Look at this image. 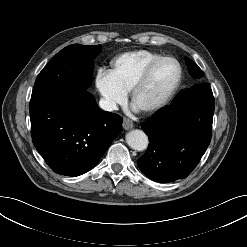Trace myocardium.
Segmentation results:
<instances>
[{"instance_id":"myocardium-1","label":"myocardium","mask_w":247,"mask_h":247,"mask_svg":"<svg viewBox=\"0 0 247 247\" xmlns=\"http://www.w3.org/2000/svg\"><path fill=\"white\" fill-rule=\"evenodd\" d=\"M163 60H171L176 64L177 70H178L176 80L173 83V85L171 86V88L167 91V93L160 100H158L157 102L153 103L152 105L142 109L144 112H154V111H157L160 108H162L172 98V96L175 94V92L177 91V89L181 83L183 70H182V66L179 63V61L173 56H169V55L159 56L155 60L151 61L144 68V70L141 72L139 77L134 82V84L130 90V96H131L132 102L135 101L137 93L140 91V89L148 81L153 69L156 67V65L158 63H160Z\"/></svg>"}]
</instances>
